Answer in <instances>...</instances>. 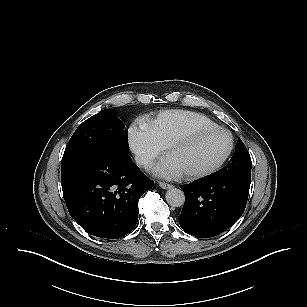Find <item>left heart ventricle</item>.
I'll return each mask as SVG.
<instances>
[{"label": "left heart ventricle", "mask_w": 307, "mask_h": 307, "mask_svg": "<svg viewBox=\"0 0 307 307\" xmlns=\"http://www.w3.org/2000/svg\"><path fill=\"white\" fill-rule=\"evenodd\" d=\"M230 145L228 135L214 132L196 139L188 146L167 156L181 174L200 171L216 164L226 154Z\"/></svg>", "instance_id": "1"}]
</instances>
